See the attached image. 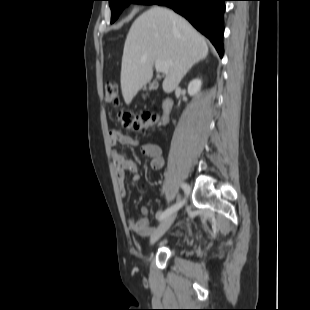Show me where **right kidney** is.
Returning a JSON list of instances; mask_svg holds the SVG:
<instances>
[{
	"label": "right kidney",
	"instance_id": "obj_1",
	"mask_svg": "<svg viewBox=\"0 0 310 310\" xmlns=\"http://www.w3.org/2000/svg\"><path fill=\"white\" fill-rule=\"evenodd\" d=\"M202 81L200 79H193L188 85V94L195 96L201 89Z\"/></svg>",
	"mask_w": 310,
	"mask_h": 310
}]
</instances>
